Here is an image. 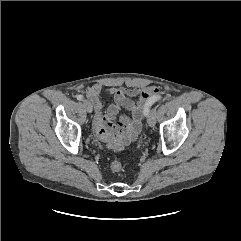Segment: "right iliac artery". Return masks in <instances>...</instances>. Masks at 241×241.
I'll use <instances>...</instances> for the list:
<instances>
[{
  "instance_id": "right-iliac-artery-1",
  "label": "right iliac artery",
  "mask_w": 241,
  "mask_h": 241,
  "mask_svg": "<svg viewBox=\"0 0 241 241\" xmlns=\"http://www.w3.org/2000/svg\"><path fill=\"white\" fill-rule=\"evenodd\" d=\"M77 100H79V101L83 100V96L82 95H78L77 96Z\"/></svg>"
}]
</instances>
